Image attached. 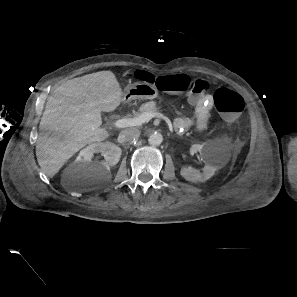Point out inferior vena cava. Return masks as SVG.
Segmentation results:
<instances>
[{"label": "inferior vena cava", "mask_w": 297, "mask_h": 297, "mask_svg": "<svg viewBox=\"0 0 297 297\" xmlns=\"http://www.w3.org/2000/svg\"><path fill=\"white\" fill-rule=\"evenodd\" d=\"M140 136V131L137 128H127L120 132L119 140L121 142H133Z\"/></svg>", "instance_id": "obj_1"}]
</instances>
